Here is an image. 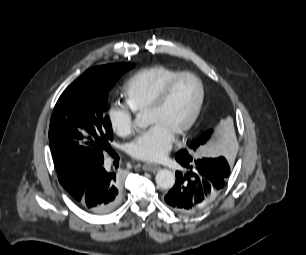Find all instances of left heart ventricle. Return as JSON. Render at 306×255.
Segmentation results:
<instances>
[{"label":"left heart ventricle","mask_w":306,"mask_h":255,"mask_svg":"<svg viewBox=\"0 0 306 255\" xmlns=\"http://www.w3.org/2000/svg\"><path fill=\"white\" fill-rule=\"evenodd\" d=\"M200 89L192 77L181 78L171 90L164 104L148 112L151 124H160L173 135L189 120L197 105Z\"/></svg>","instance_id":"b2bd125f"}]
</instances>
